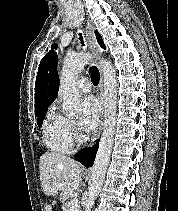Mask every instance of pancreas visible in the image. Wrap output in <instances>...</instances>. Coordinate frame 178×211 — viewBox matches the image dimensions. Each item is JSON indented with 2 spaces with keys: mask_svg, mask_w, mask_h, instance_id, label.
<instances>
[{
  "mask_svg": "<svg viewBox=\"0 0 178 211\" xmlns=\"http://www.w3.org/2000/svg\"><path fill=\"white\" fill-rule=\"evenodd\" d=\"M67 211H71V203H69V206H68V210ZM75 211H79V210L77 209Z\"/></svg>",
  "mask_w": 178,
  "mask_h": 211,
  "instance_id": "obj_1",
  "label": "pancreas"
}]
</instances>
